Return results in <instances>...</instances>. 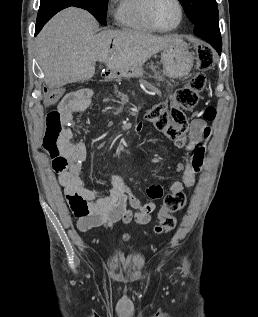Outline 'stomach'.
<instances>
[{"label":"stomach","instance_id":"0dacf381","mask_svg":"<svg viewBox=\"0 0 258 317\" xmlns=\"http://www.w3.org/2000/svg\"><path fill=\"white\" fill-rule=\"evenodd\" d=\"M161 62L163 64L164 72L170 78H179L185 76L190 72L193 66V56L189 52L187 42H179L170 48H164L161 52Z\"/></svg>","mask_w":258,"mask_h":317}]
</instances>
